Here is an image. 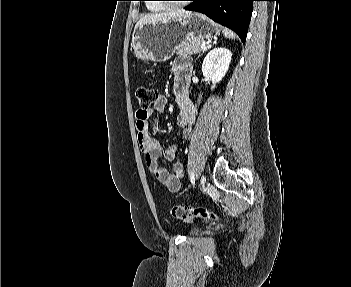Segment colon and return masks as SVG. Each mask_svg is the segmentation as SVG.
<instances>
[{"label": "colon", "instance_id": "colon-1", "mask_svg": "<svg viewBox=\"0 0 351 287\" xmlns=\"http://www.w3.org/2000/svg\"><path fill=\"white\" fill-rule=\"evenodd\" d=\"M136 96L139 105L142 108H148L155 100V90L147 86H139L136 90ZM171 214L174 218L183 221H192L195 218L201 217L204 219H217L216 213L204 207H192L183 205H174L171 208Z\"/></svg>", "mask_w": 351, "mask_h": 287}]
</instances>
